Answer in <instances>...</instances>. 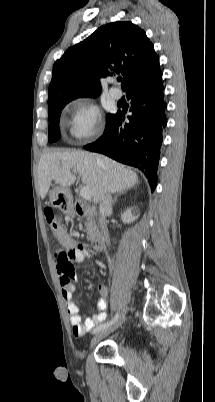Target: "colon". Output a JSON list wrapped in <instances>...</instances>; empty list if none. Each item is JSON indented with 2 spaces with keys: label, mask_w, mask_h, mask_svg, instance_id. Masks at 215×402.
Masks as SVG:
<instances>
[{
  "label": "colon",
  "mask_w": 215,
  "mask_h": 402,
  "mask_svg": "<svg viewBox=\"0 0 215 402\" xmlns=\"http://www.w3.org/2000/svg\"><path fill=\"white\" fill-rule=\"evenodd\" d=\"M44 214L46 217V220L48 224L50 225L55 237H56V242L57 244H62V249L63 250H72L73 249V244L75 243V236L74 235H66L65 232L60 228L58 225L55 214L52 208L47 207L44 210ZM64 260L69 259L68 254L63 255ZM63 270L65 272H70L72 271V266L68 263L63 267Z\"/></svg>",
  "instance_id": "obj_1"
}]
</instances>
